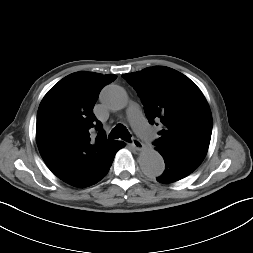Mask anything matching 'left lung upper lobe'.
<instances>
[{
	"instance_id": "5c2ea615",
	"label": "left lung upper lobe",
	"mask_w": 253,
	"mask_h": 253,
	"mask_svg": "<svg viewBox=\"0 0 253 253\" xmlns=\"http://www.w3.org/2000/svg\"><path fill=\"white\" fill-rule=\"evenodd\" d=\"M122 76L137 91L149 122L162 123L155 149L162 156L201 163L211 139L212 115L195 83L165 66Z\"/></svg>"
}]
</instances>
